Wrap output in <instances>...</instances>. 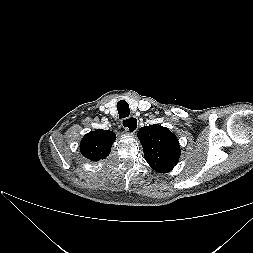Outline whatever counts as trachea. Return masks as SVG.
Returning a JSON list of instances; mask_svg holds the SVG:
<instances>
[{
    "instance_id": "obj_1",
    "label": "trachea",
    "mask_w": 253,
    "mask_h": 253,
    "mask_svg": "<svg viewBox=\"0 0 253 253\" xmlns=\"http://www.w3.org/2000/svg\"><path fill=\"white\" fill-rule=\"evenodd\" d=\"M117 110H118L120 118L128 117L130 114L129 105L124 100H121L117 103ZM129 124H131V121H127L128 127H129ZM136 126H137V123H136Z\"/></svg>"
}]
</instances>
